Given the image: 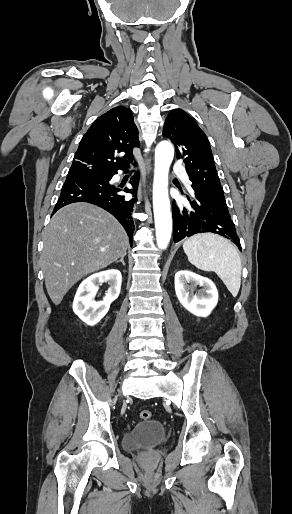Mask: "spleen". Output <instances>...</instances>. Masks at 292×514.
I'll return each mask as SVG.
<instances>
[{
    "label": "spleen",
    "instance_id": "3e777b00",
    "mask_svg": "<svg viewBox=\"0 0 292 514\" xmlns=\"http://www.w3.org/2000/svg\"><path fill=\"white\" fill-rule=\"evenodd\" d=\"M193 266L203 272H215L236 298L241 286V260L235 246L218 234H195L183 244Z\"/></svg>",
    "mask_w": 292,
    "mask_h": 514
}]
</instances>
